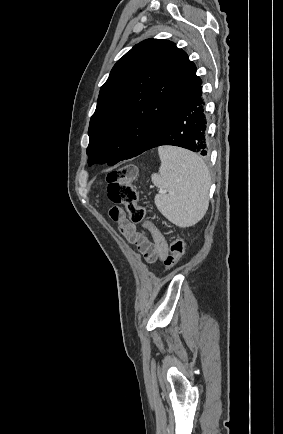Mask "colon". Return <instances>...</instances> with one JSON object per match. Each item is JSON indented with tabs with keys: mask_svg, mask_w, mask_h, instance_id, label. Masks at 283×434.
<instances>
[{
	"mask_svg": "<svg viewBox=\"0 0 283 434\" xmlns=\"http://www.w3.org/2000/svg\"><path fill=\"white\" fill-rule=\"evenodd\" d=\"M136 175V166L128 164L110 171L105 181L110 201L116 205L124 206L133 223H141L146 216V210L138 203V196L133 186ZM183 254L184 241L179 237L172 238L170 240V255L165 259V269L169 271L174 268Z\"/></svg>",
	"mask_w": 283,
	"mask_h": 434,
	"instance_id": "5ec220e1",
	"label": "colon"
}]
</instances>
